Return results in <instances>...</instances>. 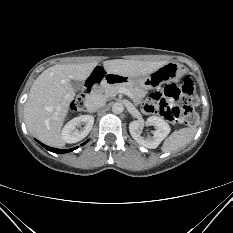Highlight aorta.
<instances>
[{
    "instance_id": "aorta-1",
    "label": "aorta",
    "mask_w": 233,
    "mask_h": 233,
    "mask_svg": "<svg viewBox=\"0 0 233 233\" xmlns=\"http://www.w3.org/2000/svg\"><path fill=\"white\" fill-rule=\"evenodd\" d=\"M124 110V107H123V104L122 103H114L113 106H112V112L114 114H121Z\"/></svg>"
}]
</instances>
